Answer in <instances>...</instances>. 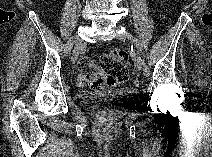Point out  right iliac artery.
Segmentation results:
<instances>
[{"label": "right iliac artery", "instance_id": "1", "mask_svg": "<svg viewBox=\"0 0 212 157\" xmlns=\"http://www.w3.org/2000/svg\"><path fill=\"white\" fill-rule=\"evenodd\" d=\"M73 44H74V38H70L68 41H67V44H66V48H65V51L66 53H69L70 50L72 49L73 47Z\"/></svg>", "mask_w": 212, "mask_h": 157}]
</instances>
